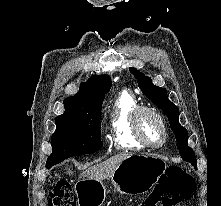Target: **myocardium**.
Masks as SVG:
<instances>
[{"label": "myocardium", "mask_w": 221, "mask_h": 206, "mask_svg": "<svg viewBox=\"0 0 221 206\" xmlns=\"http://www.w3.org/2000/svg\"><path fill=\"white\" fill-rule=\"evenodd\" d=\"M143 114H151L153 117H155L162 128L163 132V138L159 144H151L150 142L147 141L145 138L143 132H142V127H141V119ZM132 127H133V132L136 137V139L146 148L150 149H159L163 147L168 139V128L166 121L164 117L159 113L156 109L149 107V106H137L134 111H133V116H132Z\"/></svg>", "instance_id": "f54148a6"}]
</instances>
